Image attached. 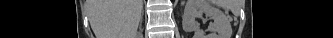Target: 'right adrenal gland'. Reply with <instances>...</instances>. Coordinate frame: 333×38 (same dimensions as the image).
I'll list each match as a JSON object with an SVG mask.
<instances>
[{"label":"right adrenal gland","mask_w":333,"mask_h":38,"mask_svg":"<svg viewBox=\"0 0 333 38\" xmlns=\"http://www.w3.org/2000/svg\"><path fill=\"white\" fill-rule=\"evenodd\" d=\"M142 18H143V12H142V16L140 18V27H141V23H142Z\"/></svg>","instance_id":"1"}]
</instances>
